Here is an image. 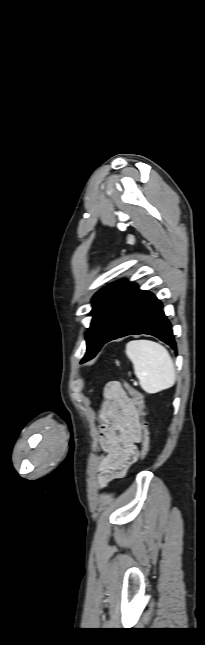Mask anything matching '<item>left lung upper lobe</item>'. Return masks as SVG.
I'll return each mask as SVG.
<instances>
[{
    "mask_svg": "<svg viewBox=\"0 0 205 645\" xmlns=\"http://www.w3.org/2000/svg\"><path fill=\"white\" fill-rule=\"evenodd\" d=\"M125 280H119L99 292L92 299L93 319L86 334L87 352L82 359L84 363L93 358L101 348L107 328L113 304L115 303Z\"/></svg>",
    "mask_w": 205,
    "mask_h": 645,
    "instance_id": "obj_1",
    "label": "left lung upper lobe"
}]
</instances>
